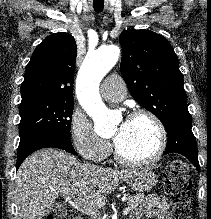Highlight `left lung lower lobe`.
<instances>
[{
    "instance_id": "1",
    "label": "left lung lower lobe",
    "mask_w": 211,
    "mask_h": 219,
    "mask_svg": "<svg viewBox=\"0 0 211 219\" xmlns=\"http://www.w3.org/2000/svg\"><path fill=\"white\" fill-rule=\"evenodd\" d=\"M166 130L168 142L163 155L168 153L182 154L200 170L196 139L191 130V118L175 120Z\"/></svg>"
}]
</instances>
